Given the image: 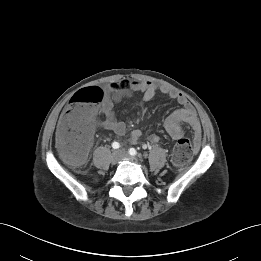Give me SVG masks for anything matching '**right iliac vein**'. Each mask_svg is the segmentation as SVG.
I'll list each match as a JSON object with an SVG mask.
<instances>
[{"label": "right iliac vein", "mask_w": 261, "mask_h": 261, "mask_svg": "<svg viewBox=\"0 0 261 261\" xmlns=\"http://www.w3.org/2000/svg\"><path fill=\"white\" fill-rule=\"evenodd\" d=\"M119 159H120V155H119L118 151H114L111 153V155H110L111 164H117Z\"/></svg>", "instance_id": "right-iliac-vein-1"}]
</instances>
